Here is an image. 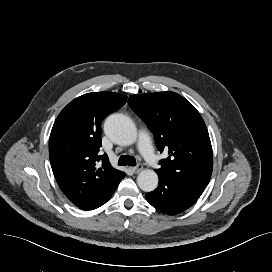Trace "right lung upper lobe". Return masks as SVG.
Masks as SVG:
<instances>
[{"mask_svg":"<svg viewBox=\"0 0 272 272\" xmlns=\"http://www.w3.org/2000/svg\"><path fill=\"white\" fill-rule=\"evenodd\" d=\"M126 100L118 93H87L71 101L55 120L49 139L51 167L63 193L82 209L95 206L124 178L100 147L102 120Z\"/></svg>","mask_w":272,"mask_h":272,"instance_id":"right-lung-upper-lobe-1","label":"right lung upper lobe"}]
</instances>
